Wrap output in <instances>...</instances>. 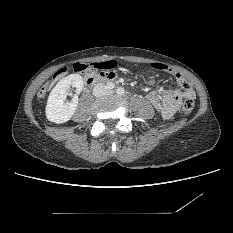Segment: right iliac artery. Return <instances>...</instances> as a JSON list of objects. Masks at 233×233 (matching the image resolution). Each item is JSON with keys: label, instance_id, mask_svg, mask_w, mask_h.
<instances>
[{"label": "right iliac artery", "instance_id": "right-iliac-artery-1", "mask_svg": "<svg viewBox=\"0 0 233 233\" xmlns=\"http://www.w3.org/2000/svg\"><path fill=\"white\" fill-rule=\"evenodd\" d=\"M114 87H115V84H113V83H108L106 86V88L109 90L114 89Z\"/></svg>", "mask_w": 233, "mask_h": 233}]
</instances>
